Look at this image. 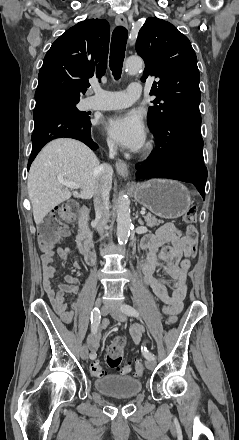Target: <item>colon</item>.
<instances>
[{"mask_svg":"<svg viewBox=\"0 0 239 440\" xmlns=\"http://www.w3.org/2000/svg\"><path fill=\"white\" fill-rule=\"evenodd\" d=\"M78 205L75 202H67L61 206L56 207L50 215H48L39 229L40 247L45 248L53 245L63 235V225L60 219L70 220L76 214ZM197 219L196 206H191L184 214L183 220L186 224V235L188 239L195 244L198 237V232L194 223ZM195 251V250H194ZM177 320L176 315H171L168 318V324L173 325ZM125 348V340L122 337L115 338L109 345L106 353V364L110 369L118 370L121 373H129L131 367L129 365L121 366ZM90 373L94 376H102L104 371L98 362H92L89 366ZM145 370L142 361H138L135 365V374L140 377Z\"/></svg>","mask_w":239,"mask_h":440,"instance_id":"colon-1","label":"colon"}]
</instances>
